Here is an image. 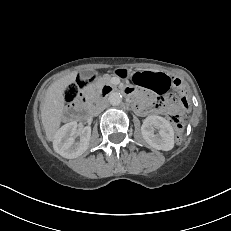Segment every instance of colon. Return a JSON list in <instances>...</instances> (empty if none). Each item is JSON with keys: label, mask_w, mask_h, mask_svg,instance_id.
<instances>
[{"label": "colon", "mask_w": 231, "mask_h": 231, "mask_svg": "<svg viewBox=\"0 0 231 231\" xmlns=\"http://www.w3.org/2000/svg\"><path fill=\"white\" fill-rule=\"evenodd\" d=\"M93 78V76L84 77L77 83V85L68 87L65 91L66 100L68 102H72L78 96L79 92L86 88L93 81ZM136 80L139 82L140 77L136 76ZM163 103L164 100L160 98L158 105H163ZM176 106L185 109L188 108L187 98L185 96H180L177 98ZM171 120L176 130V141L177 143H180L183 140L185 120L182 116L179 115H172Z\"/></svg>", "instance_id": "1"}]
</instances>
